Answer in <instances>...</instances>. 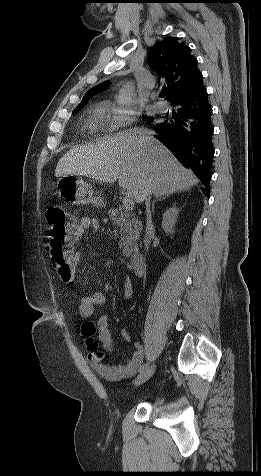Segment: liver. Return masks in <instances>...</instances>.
<instances>
[{
	"label": "liver",
	"instance_id": "obj_1",
	"mask_svg": "<svg viewBox=\"0 0 261 476\" xmlns=\"http://www.w3.org/2000/svg\"><path fill=\"white\" fill-rule=\"evenodd\" d=\"M146 128H129L105 136L96 144L74 147L58 162L55 176H86L114 183L132 196L136 203L146 192L162 197L190 189L198 184L195 174Z\"/></svg>",
	"mask_w": 261,
	"mask_h": 476
}]
</instances>
